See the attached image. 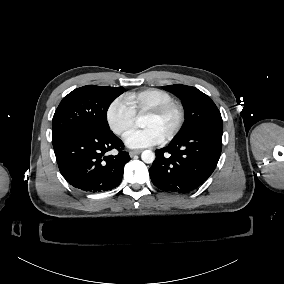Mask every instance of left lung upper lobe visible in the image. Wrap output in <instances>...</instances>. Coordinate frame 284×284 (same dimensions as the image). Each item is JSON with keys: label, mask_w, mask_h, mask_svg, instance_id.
<instances>
[{"label": "left lung upper lobe", "mask_w": 284, "mask_h": 284, "mask_svg": "<svg viewBox=\"0 0 284 284\" xmlns=\"http://www.w3.org/2000/svg\"><path fill=\"white\" fill-rule=\"evenodd\" d=\"M163 89L178 96L185 107L186 123L180 135L204 128L222 130L221 114L209 96L195 87L182 84L163 86Z\"/></svg>", "instance_id": "5c2ea615"}]
</instances>
